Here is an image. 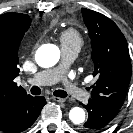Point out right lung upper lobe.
<instances>
[{
	"label": "right lung upper lobe",
	"instance_id": "1",
	"mask_svg": "<svg viewBox=\"0 0 133 133\" xmlns=\"http://www.w3.org/2000/svg\"><path fill=\"white\" fill-rule=\"evenodd\" d=\"M31 19L26 14L0 15V119L21 98L28 96L14 78L19 75L18 48Z\"/></svg>",
	"mask_w": 133,
	"mask_h": 133
}]
</instances>
